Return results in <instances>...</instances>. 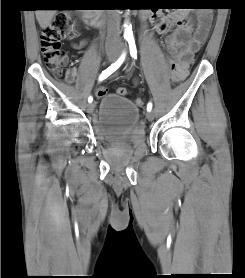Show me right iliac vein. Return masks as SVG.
I'll return each mask as SVG.
<instances>
[{
    "instance_id": "1",
    "label": "right iliac vein",
    "mask_w": 245,
    "mask_h": 278,
    "mask_svg": "<svg viewBox=\"0 0 245 278\" xmlns=\"http://www.w3.org/2000/svg\"><path fill=\"white\" fill-rule=\"evenodd\" d=\"M118 54V50L117 49H110L107 51V60L109 63H112L116 60ZM95 108V104L94 103H90L87 105V111L89 113H92L94 111Z\"/></svg>"
}]
</instances>
